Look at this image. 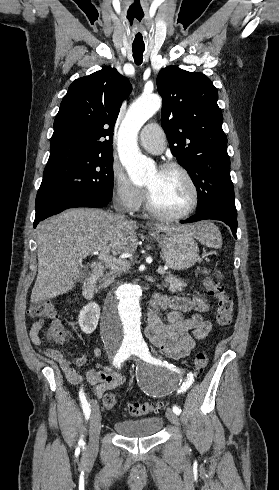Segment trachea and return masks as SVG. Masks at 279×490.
<instances>
[{"mask_svg": "<svg viewBox=\"0 0 279 490\" xmlns=\"http://www.w3.org/2000/svg\"><path fill=\"white\" fill-rule=\"evenodd\" d=\"M132 50H133V57H134L135 63L137 65H140L142 63V60H143L144 47L133 46Z\"/></svg>", "mask_w": 279, "mask_h": 490, "instance_id": "1", "label": "trachea"}]
</instances>
